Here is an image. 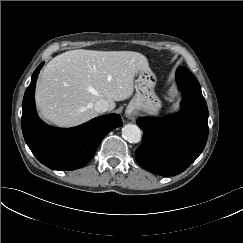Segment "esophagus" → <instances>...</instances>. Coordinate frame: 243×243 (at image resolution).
Returning <instances> with one entry per match:
<instances>
[{
  "mask_svg": "<svg viewBox=\"0 0 243 243\" xmlns=\"http://www.w3.org/2000/svg\"><path fill=\"white\" fill-rule=\"evenodd\" d=\"M126 117L127 118H132V112L131 111H126Z\"/></svg>",
  "mask_w": 243,
  "mask_h": 243,
  "instance_id": "esophagus-1",
  "label": "esophagus"
}]
</instances>
